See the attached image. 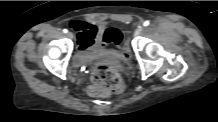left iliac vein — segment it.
Masks as SVG:
<instances>
[{
    "label": "left iliac vein",
    "mask_w": 218,
    "mask_h": 122,
    "mask_svg": "<svg viewBox=\"0 0 218 122\" xmlns=\"http://www.w3.org/2000/svg\"><path fill=\"white\" fill-rule=\"evenodd\" d=\"M143 29H144L143 26H138L136 31H135V34L136 35H141L142 32H143Z\"/></svg>",
    "instance_id": "left-iliac-vein-1"
}]
</instances>
